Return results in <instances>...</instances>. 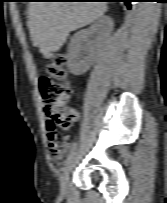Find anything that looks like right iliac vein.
<instances>
[{
  "label": "right iliac vein",
  "instance_id": "obj_1",
  "mask_svg": "<svg viewBox=\"0 0 167 203\" xmlns=\"http://www.w3.org/2000/svg\"><path fill=\"white\" fill-rule=\"evenodd\" d=\"M75 155H73L70 160L67 163L66 168L64 169L63 174L61 175L60 178V189H61V194L66 195L68 192V186H69V180H70V174L74 168L75 165Z\"/></svg>",
  "mask_w": 167,
  "mask_h": 203
}]
</instances>
